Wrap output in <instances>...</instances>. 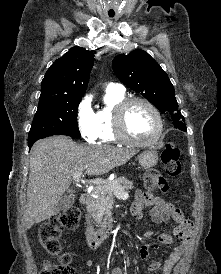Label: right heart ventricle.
I'll list each match as a JSON object with an SVG mask.
<instances>
[{
    "label": "right heart ventricle",
    "mask_w": 221,
    "mask_h": 274,
    "mask_svg": "<svg viewBox=\"0 0 221 274\" xmlns=\"http://www.w3.org/2000/svg\"><path fill=\"white\" fill-rule=\"evenodd\" d=\"M124 99H126L124 92L106 90L104 106L96 112L98 139L101 142L114 143L119 141L114 131L113 116L116 106Z\"/></svg>",
    "instance_id": "e07e8e85"
}]
</instances>
